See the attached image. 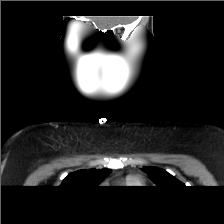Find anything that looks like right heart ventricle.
Returning <instances> with one entry per match:
<instances>
[{
    "label": "right heart ventricle",
    "mask_w": 224,
    "mask_h": 224,
    "mask_svg": "<svg viewBox=\"0 0 224 224\" xmlns=\"http://www.w3.org/2000/svg\"><path fill=\"white\" fill-rule=\"evenodd\" d=\"M126 183H127L128 185H136V184H137V181H136L135 179H133V178H128V179L126 180Z\"/></svg>",
    "instance_id": "obj_1"
}]
</instances>
